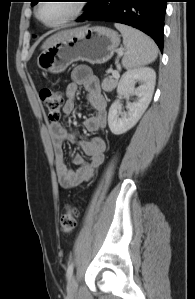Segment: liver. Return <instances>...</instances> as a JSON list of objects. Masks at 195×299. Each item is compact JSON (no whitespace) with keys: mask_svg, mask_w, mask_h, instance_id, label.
<instances>
[{"mask_svg":"<svg viewBox=\"0 0 195 299\" xmlns=\"http://www.w3.org/2000/svg\"><path fill=\"white\" fill-rule=\"evenodd\" d=\"M71 30H66V31H60L54 35H52L51 37H49L42 45V49H46L50 46H52L53 44H55L57 41H59L62 37L66 36L68 33H70Z\"/></svg>","mask_w":195,"mask_h":299,"instance_id":"6515ba94","label":"liver"}]
</instances>
